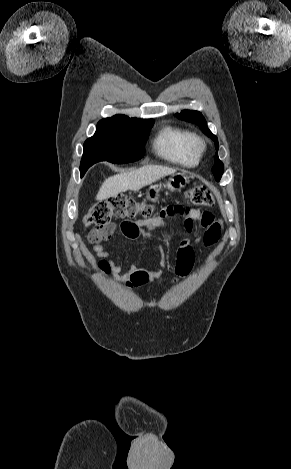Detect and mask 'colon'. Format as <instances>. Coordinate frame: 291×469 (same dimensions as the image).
<instances>
[{"label":"colon","instance_id":"5ec220e1","mask_svg":"<svg viewBox=\"0 0 291 469\" xmlns=\"http://www.w3.org/2000/svg\"><path fill=\"white\" fill-rule=\"evenodd\" d=\"M185 197L192 204L201 207H212L215 203L213 194L205 186H195L185 192ZM189 208L183 206H171L161 211L168 216L184 214ZM154 213V206L147 201H138L124 195H117L93 205L84 216L86 227L94 226L92 231L99 235L108 234L111 231L112 220L132 219L136 216L150 217ZM212 229L209 234H215Z\"/></svg>","mask_w":291,"mask_h":469}]
</instances>
